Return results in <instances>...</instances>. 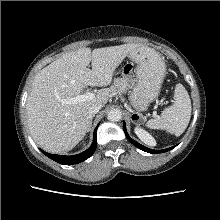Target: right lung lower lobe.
<instances>
[{
	"label": "right lung lower lobe",
	"mask_w": 220,
	"mask_h": 220,
	"mask_svg": "<svg viewBox=\"0 0 220 220\" xmlns=\"http://www.w3.org/2000/svg\"><path fill=\"white\" fill-rule=\"evenodd\" d=\"M99 124L97 125V127L94 130V136H93V142L92 145L90 146V148H88L86 151L77 154V155H73V156H63V155H55V154H49L45 151H43L42 149H40V151L45 154L46 156H48L49 158H51L52 160L63 164V165H71V164H77L80 163L86 159H88L90 156H92V154L94 153L96 146H97V139H96V131L98 128Z\"/></svg>",
	"instance_id": "98d812e1"
}]
</instances>
